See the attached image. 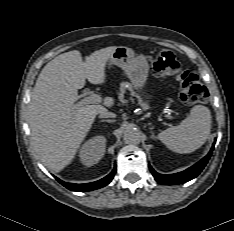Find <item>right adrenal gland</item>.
I'll list each match as a JSON object with an SVG mask.
<instances>
[{
    "label": "right adrenal gland",
    "mask_w": 234,
    "mask_h": 231,
    "mask_svg": "<svg viewBox=\"0 0 234 231\" xmlns=\"http://www.w3.org/2000/svg\"><path fill=\"white\" fill-rule=\"evenodd\" d=\"M100 122H108V123H112V122H114V120H109V119H103V120H101Z\"/></svg>",
    "instance_id": "obj_1"
}]
</instances>
